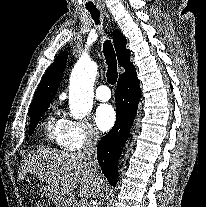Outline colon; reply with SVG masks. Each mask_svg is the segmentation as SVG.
Returning <instances> with one entry per match:
<instances>
[{"instance_id":"1","label":"colon","mask_w":206,"mask_h":207,"mask_svg":"<svg viewBox=\"0 0 206 207\" xmlns=\"http://www.w3.org/2000/svg\"><path fill=\"white\" fill-rule=\"evenodd\" d=\"M35 207H46V206H45V204H43V203H39V204H37Z\"/></svg>"}]
</instances>
